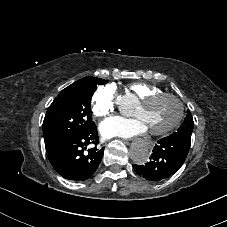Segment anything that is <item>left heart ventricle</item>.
<instances>
[{"label":"left heart ventricle","mask_w":227,"mask_h":227,"mask_svg":"<svg viewBox=\"0 0 227 227\" xmlns=\"http://www.w3.org/2000/svg\"><path fill=\"white\" fill-rule=\"evenodd\" d=\"M178 113L176 101L171 97H162L147 105L139 104L134 116L142 121L148 131H160L171 125Z\"/></svg>","instance_id":"obj_1"}]
</instances>
